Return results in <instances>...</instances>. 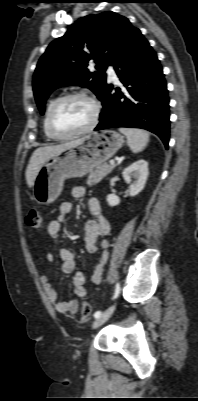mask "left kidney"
<instances>
[{
  "label": "left kidney",
  "mask_w": 198,
  "mask_h": 401,
  "mask_svg": "<svg viewBox=\"0 0 198 401\" xmlns=\"http://www.w3.org/2000/svg\"><path fill=\"white\" fill-rule=\"evenodd\" d=\"M123 178L129 185V195L136 196L144 188L147 177H148V163L141 159L134 162L132 165L124 169L122 172ZM132 178L135 180L131 183ZM107 202L109 206L113 207L120 203V198L115 194H109L107 196Z\"/></svg>",
  "instance_id": "1"
}]
</instances>
